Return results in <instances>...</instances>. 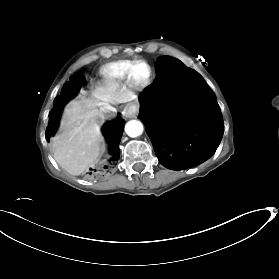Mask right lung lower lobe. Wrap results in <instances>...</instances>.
I'll use <instances>...</instances> for the list:
<instances>
[{"mask_svg": "<svg viewBox=\"0 0 279 279\" xmlns=\"http://www.w3.org/2000/svg\"><path fill=\"white\" fill-rule=\"evenodd\" d=\"M83 82L84 78H82L81 80H71L70 82L65 83V85L62 88L61 95L55 98L54 107L49 114L50 123L46 129V138L48 141L50 137L54 136L56 132L57 122L59 120L63 107L71 98H73L77 94ZM123 128V122L120 121L112 122L107 128V136L112 143L111 149L113 152V157L111 158V160L119 159L117 145L120 142L123 133Z\"/></svg>", "mask_w": 279, "mask_h": 279, "instance_id": "1", "label": "right lung lower lobe"}]
</instances>
